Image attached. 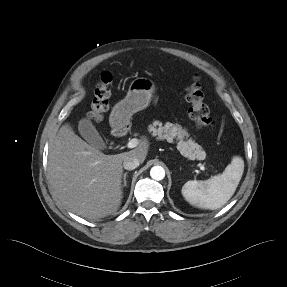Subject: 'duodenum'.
I'll return each mask as SVG.
<instances>
[{"mask_svg":"<svg viewBox=\"0 0 287 287\" xmlns=\"http://www.w3.org/2000/svg\"><path fill=\"white\" fill-rule=\"evenodd\" d=\"M113 130L116 137H121L127 132L128 124L123 121L121 115H119L117 120L114 122Z\"/></svg>","mask_w":287,"mask_h":287,"instance_id":"duodenum-1","label":"duodenum"}]
</instances>
